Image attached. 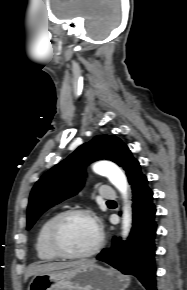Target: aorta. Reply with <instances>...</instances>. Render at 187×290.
Listing matches in <instances>:
<instances>
[{"label":"aorta","mask_w":187,"mask_h":290,"mask_svg":"<svg viewBox=\"0 0 187 290\" xmlns=\"http://www.w3.org/2000/svg\"><path fill=\"white\" fill-rule=\"evenodd\" d=\"M95 173L105 176L120 191L125 203L127 202L128 183L124 173L115 164L109 162H98L93 166ZM131 209L129 206L124 207L122 218V236L126 238L131 228Z\"/></svg>","instance_id":"obj_1"}]
</instances>
